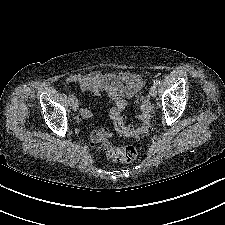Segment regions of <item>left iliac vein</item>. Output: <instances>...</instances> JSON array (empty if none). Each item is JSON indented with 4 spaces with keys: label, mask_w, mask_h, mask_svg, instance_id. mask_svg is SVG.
<instances>
[{
    "label": "left iliac vein",
    "mask_w": 225,
    "mask_h": 225,
    "mask_svg": "<svg viewBox=\"0 0 225 225\" xmlns=\"http://www.w3.org/2000/svg\"><path fill=\"white\" fill-rule=\"evenodd\" d=\"M150 95L152 96V97H156V95H157V88H156V86H151V88H150Z\"/></svg>",
    "instance_id": "left-iliac-vein-1"
}]
</instances>
